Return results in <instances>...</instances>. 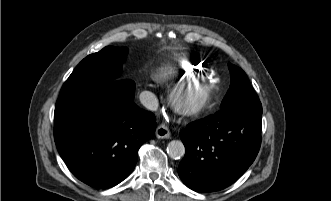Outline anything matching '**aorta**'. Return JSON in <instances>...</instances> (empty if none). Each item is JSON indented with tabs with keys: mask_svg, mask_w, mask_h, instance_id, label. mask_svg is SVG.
<instances>
[{
	"mask_svg": "<svg viewBox=\"0 0 331 201\" xmlns=\"http://www.w3.org/2000/svg\"><path fill=\"white\" fill-rule=\"evenodd\" d=\"M167 153L173 159H179L185 154V147L181 141L173 140L167 146Z\"/></svg>",
	"mask_w": 331,
	"mask_h": 201,
	"instance_id": "aorta-1",
	"label": "aorta"
}]
</instances>
